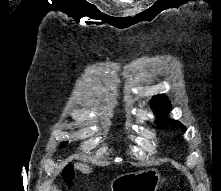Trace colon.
Returning <instances> with one entry per match:
<instances>
[{"mask_svg":"<svg viewBox=\"0 0 221 191\" xmlns=\"http://www.w3.org/2000/svg\"><path fill=\"white\" fill-rule=\"evenodd\" d=\"M75 172L71 165H66L62 172V179L68 186H73Z\"/></svg>","mask_w":221,"mask_h":191,"instance_id":"obj_1","label":"colon"}]
</instances>
